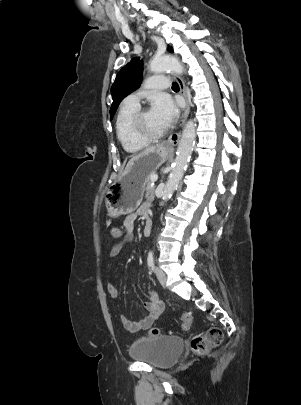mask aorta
<instances>
[{
  "instance_id": "aorta-1",
  "label": "aorta",
  "mask_w": 301,
  "mask_h": 405,
  "mask_svg": "<svg viewBox=\"0 0 301 405\" xmlns=\"http://www.w3.org/2000/svg\"><path fill=\"white\" fill-rule=\"evenodd\" d=\"M150 70L155 73L175 72L181 74L183 72V66L176 57L162 56L151 61ZM195 138L196 124L193 120H189L183 129L175 162L163 190L160 205H164V203L172 197V194L183 177L193 151Z\"/></svg>"
}]
</instances>
